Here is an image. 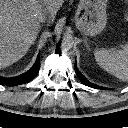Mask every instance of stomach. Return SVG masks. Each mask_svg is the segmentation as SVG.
Instances as JSON below:
<instances>
[{
    "label": "stomach",
    "instance_id": "stomach-1",
    "mask_svg": "<svg viewBox=\"0 0 128 128\" xmlns=\"http://www.w3.org/2000/svg\"><path fill=\"white\" fill-rule=\"evenodd\" d=\"M108 0H80L76 12V26L78 30L87 36L101 33L107 23Z\"/></svg>",
    "mask_w": 128,
    "mask_h": 128
}]
</instances>
